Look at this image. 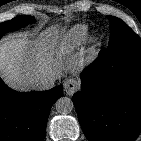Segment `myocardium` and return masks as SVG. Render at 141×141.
<instances>
[{
    "instance_id": "f54148a6",
    "label": "myocardium",
    "mask_w": 141,
    "mask_h": 141,
    "mask_svg": "<svg viewBox=\"0 0 141 141\" xmlns=\"http://www.w3.org/2000/svg\"><path fill=\"white\" fill-rule=\"evenodd\" d=\"M90 43L92 46H95L97 44V38L96 37H92L90 40Z\"/></svg>"
}]
</instances>
